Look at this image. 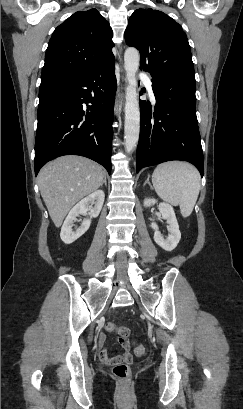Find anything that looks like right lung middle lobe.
Masks as SVG:
<instances>
[{"instance_id": "obj_1", "label": "right lung middle lobe", "mask_w": 243, "mask_h": 409, "mask_svg": "<svg viewBox=\"0 0 243 409\" xmlns=\"http://www.w3.org/2000/svg\"><path fill=\"white\" fill-rule=\"evenodd\" d=\"M64 80L61 79H47V80H41L40 87L48 86L54 83L62 82Z\"/></svg>"}]
</instances>
